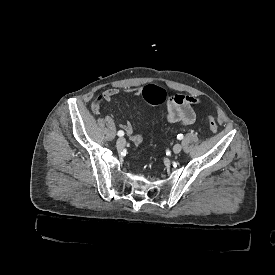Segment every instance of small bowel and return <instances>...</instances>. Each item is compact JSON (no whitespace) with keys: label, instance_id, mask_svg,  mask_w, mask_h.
Listing matches in <instances>:
<instances>
[{"label":"small bowel","instance_id":"1","mask_svg":"<svg viewBox=\"0 0 275 275\" xmlns=\"http://www.w3.org/2000/svg\"><path fill=\"white\" fill-rule=\"evenodd\" d=\"M121 93L125 95H134L139 97L142 93L138 87L129 88L121 92L117 88H109L99 94L91 103V111L93 115L100 114L103 102H109ZM200 103V100L184 94H175L171 96L166 103L167 121L172 124L191 125L196 120V113L193 105ZM121 128L131 137H133V125L126 121L120 124Z\"/></svg>","mask_w":275,"mask_h":275}]
</instances>
